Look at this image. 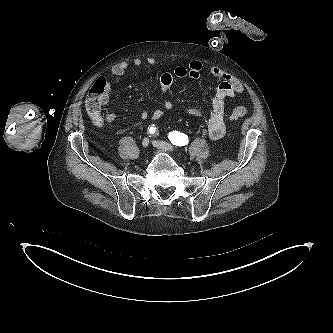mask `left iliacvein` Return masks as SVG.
Masks as SVG:
<instances>
[{"instance_id": "1", "label": "left iliac vein", "mask_w": 333, "mask_h": 333, "mask_svg": "<svg viewBox=\"0 0 333 333\" xmlns=\"http://www.w3.org/2000/svg\"><path fill=\"white\" fill-rule=\"evenodd\" d=\"M153 143H154L155 147H157L158 149H161V150L169 152V153L175 152V148L167 142L154 141Z\"/></svg>"}]
</instances>
